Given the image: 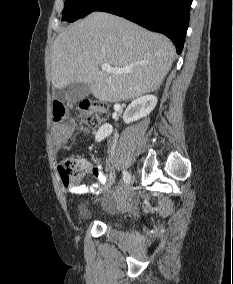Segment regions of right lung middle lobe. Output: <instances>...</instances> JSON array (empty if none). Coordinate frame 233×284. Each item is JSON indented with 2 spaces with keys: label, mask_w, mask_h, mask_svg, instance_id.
I'll list each match as a JSON object with an SVG mask.
<instances>
[{
  "label": "right lung middle lobe",
  "mask_w": 233,
  "mask_h": 284,
  "mask_svg": "<svg viewBox=\"0 0 233 284\" xmlns=\"http://www.w3.org/2000/svg\"><path fill=\"white\" fill-rule=\"evenodd\" d=\"M107 0H65L62 21L73 22L95 11Z\"/></svg>",
  "instance_id": "dd1d6c3e"
}]
</instances>
